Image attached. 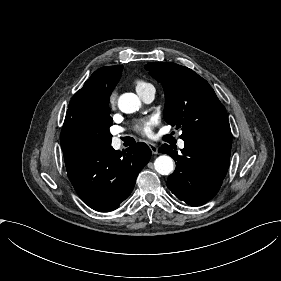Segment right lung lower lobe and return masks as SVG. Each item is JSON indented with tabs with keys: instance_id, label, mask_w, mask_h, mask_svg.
Here are the masks:
<instances>
[{
	"instance_id": "obj_1",
	"label": "right lung lower lobe",
	"mask_w": 281,
	"mask_h": 281,
	"mask_svg": "<svg viewBox=\"0 0 281 281\" xmlns=\"http://www.w3.org/2000/svg\"><path fill=\"white\" fill-rule=\"evenodd\" d=\"M112 124L109 107L99 114L86 109L77 117L65 118L61 131L68 177L80 198L100 212L119 207L151 157L150 148L141 142L125 152L114 150Z\"/></svg>"
}]
</instances>
